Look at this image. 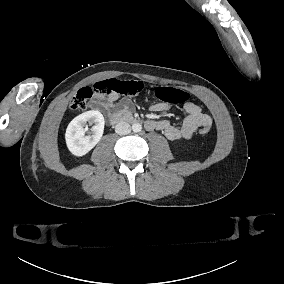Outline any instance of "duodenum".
<instances>
[{
    "label": "duodenum",
    "mask_w": 284,
    "mask_h": 284,
    "mask_svg": "<svg viewBox=\"0 0 284 284\" xmlns=\"http://www.w3.org/2000/svg\"><path fill=\"white\" fill-rule=\"evenodd\" d=\"M110 121L113 125H117L124 122H133L134 117L129 113L114 112L110 116Z\"/></svg>",
    "instance_id": "obj_1"
}]
</instances>
